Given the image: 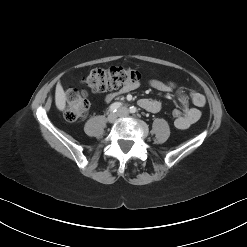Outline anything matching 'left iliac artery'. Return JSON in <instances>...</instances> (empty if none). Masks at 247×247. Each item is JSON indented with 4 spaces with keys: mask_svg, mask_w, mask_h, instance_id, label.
Segmentation results:
<instances>
[{
    "mask_svg": "<svg viewBox=\"0 0 247 247\" xmlns=\"http://www.w3.org/2000/svg\"><path fill=\"white\" fill-rule=\"evenodd\" d=\"M129 111H130V113H136V112H137V109H136V107L131 106V107L129 108Z\"/></svg>",
    "mask_w": 247,
    "mask_h": 247,
    "instance_id": "obj_1",
    "label": "left iliac artery"
}]
</instances>
